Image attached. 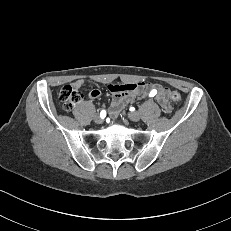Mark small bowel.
<instances>
[{"label": "small bowel", "mask_w": 231, "mask_h": 231, "mask_svg": "<svg viewBox=\"0 0 231 231\" xmlns=\"http://www.w3.org/2000/svg\"><path fill=\"white\" fill-rule=\"evenodd\" d=\"M84 85L83 79H77L73 82V86L76 88H81ZM155 87L159 88L156 94V100L162 110L165 113H171L172 107L167 98V89L161 85H152L150 91ZM144 88V83L127 82L124 84H110L109 90L113 94V101L109 109V114L111 117H116L123 106L130 102L133 97L138 94ZM101 96V92L98 89H93L89 92V97L91 99H97Z\"/></svg>", "instance_id": "1"}]
</instances>
